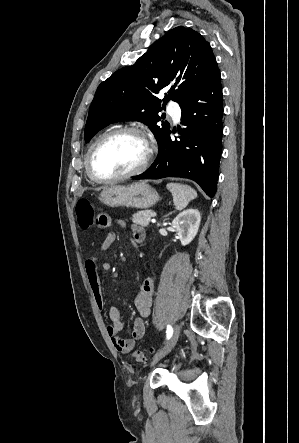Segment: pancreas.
I'll use <instances>...</instances> for the list:
<instances>
[{
	"label": "pancreas",
	"instance_id": "obj_1",
	"mask_svg": "<svg viewBox=\"0 0 299 443\" xmlns=\"http://www.w3.org/2000/svg\"><path fill=\"white\" fill-rule=\"evenodd\" d=\"M150 213H152L151 210L138 211L137 213L133 214L132 220L136 224L147 227L150 224Z\"/></svg>",
	"mask_w": 299,
	"mask_h": 443
}]
</instances>
